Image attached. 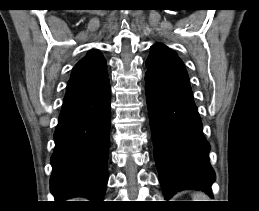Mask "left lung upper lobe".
<instances>
[{
	"instance_id": "1",
	"label": "left lung upper lobe",
	"mask_w": 259,
	"mask_h": 211,
	"mask_svg": "<svg viewBox=\"0 0 259 211\" xmlns=\"http://www.w3.org/2000/svg\"><path fill=\"white\" fill-rule=\"evenodd\" d=\"M146 78L167 86L191 89L189 77L183 62L176 53L161 43L151 46V53L146 61Z\"/></svg>"
}]
</instances>
